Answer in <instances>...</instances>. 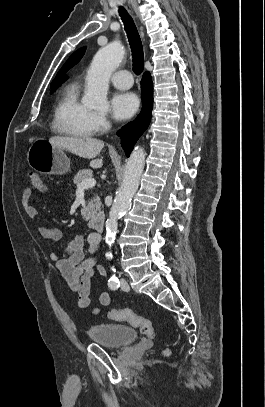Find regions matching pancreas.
<instances>
[{"instance_id":"1","label":"pancreas","mask_w":265,"mask_h":407,"mask_svg":"<svg viewBox=\"0 0 265 407\" xmlns=\"http://www.w3.org/2000/svg\"><path fill=\"white\" fill-rule=\"evenodd\" d=\"M93 177V172L89 169L80 170L74 177L73 182L74 184L79 187L82 181L86 179H91ZM101 207V201L98 196L88 201L87 206L82 209V214L86 218L91 216V213L99 210Z\"/></svg>"}]
</instances>
